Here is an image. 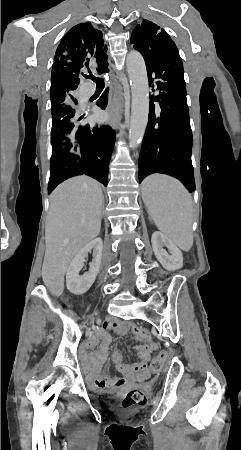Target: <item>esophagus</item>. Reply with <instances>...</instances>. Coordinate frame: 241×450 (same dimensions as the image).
Here are the masks:
<instances>
[{
  "label": "esophagus",
  "instance_id": "obj_1",
  "mask_svg": "<svg viewBox=\"0 0 241 450\" xmlns=\"http://www.w3.org/2000/svg\"><path fill=\"white\" fill-rule=\"evenodd\" d=\"M124 100L121 96L120 90L118 86L113 84V87L110 90L109 101H108V111L110 113L109 125L114 130L117 129L118 124L120 123L122 117Z\"/></svg>",
  "mask_w": 241,
  "mask_h": 450
}]
</instances>
